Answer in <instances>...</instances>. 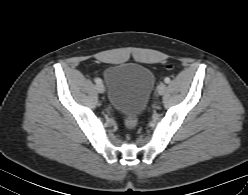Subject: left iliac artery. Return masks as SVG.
<instances>
[{
    "label": "left iliac artery",
    "instance_id": "obj_1",
    "mask_svg": "<svg viewBox=\"0 0 248 195\" xmlns=\"http://www.w3.org/2000/svg\"><path fill=\"white\" fill-rule=\"evenodd\" d=\"M164 81H165V83H169V82H170V78L166 77V78L164 79Z\"/></svg>",
    "mask_w": 248,
    "mask_h": 195
}]
</instances>
